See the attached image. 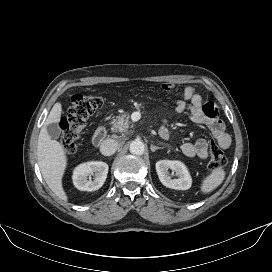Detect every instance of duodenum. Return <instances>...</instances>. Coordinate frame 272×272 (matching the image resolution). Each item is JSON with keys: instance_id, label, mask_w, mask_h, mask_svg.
I'll list each match as a JSON object with an SVG mask.
<instances>
[{"instance_id": "1", "label": "duodenum", "mask_w": 272, "mask_h": 272, "mask_svg": "<svg viewBox=\"0 0 272 272\" xmlns=\"http://www.w3.org/2000/svg\"><path fill=\"white\" fill-rule=\"evenodd\" d=\"M106 135H107V131H106L105 127H103V126L98 127L93 133L92 143L95 146L101 145L103 143V141L105 140Z\"/></svg>"}]
</instances>
